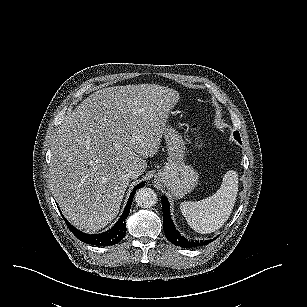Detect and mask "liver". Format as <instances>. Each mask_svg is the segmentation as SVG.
<instances>
[{
    "mask_svg": "<svg viewBox=\"0 0 307 307\" xmlns=\"http://www.w3.org/2000/svg\"><path fill=\"white\" fill-rule=\"evenodd\" d=\"M179 93L156 84L120 85L90 94L56 133L51 190L66 220L84 233L119 213L130 178L148 167ZM129 172H134L130 178Z\"/></svg>",
    "mask_w": 307,
    "mask_h": 307,
    "instance_id": "obj_1",
    "label": "liver"
}]
</instances>
